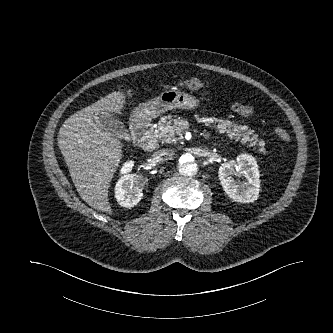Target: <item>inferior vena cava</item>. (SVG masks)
<instances>
[{
  "instance_id": "inferior-vena-cava-1",
  "label": "inferior vena cava",
  "mask_w": 333,
  "mask_h": 333,
  "mask_svg": "<svg viewBox=\"0 0 333 333\" xmlns=\"http://www.w3.org/2000/svg\"><path fill=\"white\" fill-rule=\"evenodd\" d=\"M175 154L173 149H160L154 152V156L157 157L159 161H167L172 158Z\"/></svg>"
}]
</instances>
